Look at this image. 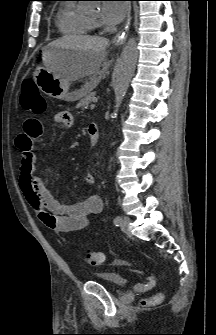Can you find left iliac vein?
<instances>
[{
	"mask_svg": "<svg viewBox=\"0 0 216 335\" xmlns=\"http://www.w3.org/2000/svg\"><path fill=\"white\" fill-rule=\"evenodd\" d=\"M129 223H130V218L127 216H124L119 225L122 228V230H126Z\"/></svg>",
	"mask_w": 216,
	"mask_h": 335,
	"instance_id": "obj_1",
	"label": "left iliac vein"
}]
</instances>
